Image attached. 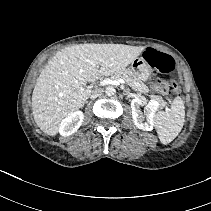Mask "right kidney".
I'll return each mask as SVG.
<instances>
[{
    "label": "right kidney",
    "instance_id": "right-kidney-1",
    "mask_svg": "<svg viewBox=\"0 0 211 211\" xmlns=\"http://www.w3.org/2000/svg\"><path fill=\"white\" fill-rule=\"evenodd\" d=\"M84 119L82 111H75L69 114L59 125L60 135L66 137L75 133L81 126Z\"/></svg>",
    "mask_w": 211,
    "mask_h": 211
}]
</instances>
